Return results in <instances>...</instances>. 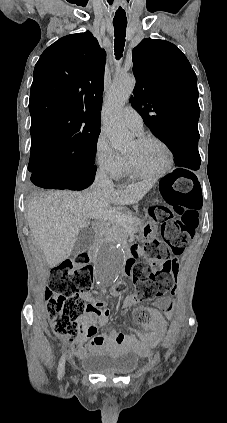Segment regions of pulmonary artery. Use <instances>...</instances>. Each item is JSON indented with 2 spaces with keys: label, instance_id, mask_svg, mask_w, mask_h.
<instances>
[{
  "label": "pulmonary artery",
  "instance_id": "e3ab8cb5",
  "mask_svg": "<svg viewBox=\"0 0 227 423\" xmlns=\"http://www.w3.org/2000/svg\"><path fill=\"white\" fill-rule=\"evenodd\" d=\"M122 119L125 125L132 130L136 135L143 133L142 117L132 107L127 106L122 112Z\"/></svg>",
  "mask_w": 227,
  "mask_h": 423
}]
</instances>
